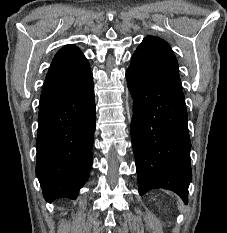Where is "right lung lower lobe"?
Listing matches in <instances>:
<instances>
[{
    "label": "right lung lower lobe",
    "mask_w": 227,
    "mask_h": 233,
    "mask_svg": "<svg viewBox=\"0 0 227 233\" xmlns=\"http://www.w3.org/2000/svg\"><path fill=\"white\" fill-rule=\"evenodd\" d=\"M95 127L93 80L39 109L36 175L47 202L77 198L92 166Z\"/></svg>",
    "instance_id": "right-lung-lower-lobe-1"
}]
</instances>
